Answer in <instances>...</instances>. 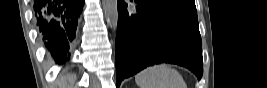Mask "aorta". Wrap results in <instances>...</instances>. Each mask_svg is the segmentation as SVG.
I'll use <instances>...</instances> for the list:
<instances>
[{
    "label": "aorta",
    "mask_w": 267,
    "mask_h": 88,
    "mask_svg": "<svg viewBox=\"0 0 267 88\" xmlns=\"http://www.w3.org/2000/svg\"><path fill=\"white\" fill-rule=\"evenodd\" d=\"M102 5L108 24L116 28L118 24L117 0H102Z\"/></svg>",
    "instance_id": "762f6f07"
}]
</instances>
